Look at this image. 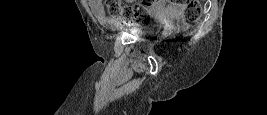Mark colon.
I'll use <instances>...</instances> for the list:
<instances>
[{
    "instance_id": "obj_1",
    "label": "colon",
    "mask_w": 267,
    "mask_h": 115,
    "mask_svg": "<svg viewBox=\"0 0 267 115\" xmlns=\"http://www.w3.org/2000/svg\"><path fill=\"white\" fill-rule=\"evenodd\" d=\"M184 7L185 19L189 22L196 21L201 15V5L198 0H172ZM155 1H144L135 5H125L119 0H108L106 6L109 14L122 24L133 21H146L149 8Z\"/></svg>"
}]
</instances>
